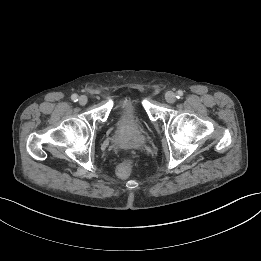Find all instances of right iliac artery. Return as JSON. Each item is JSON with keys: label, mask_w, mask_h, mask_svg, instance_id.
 <instances>
[{"label": "right iliac artery", "mask_w": 261, "mask_h": 261, "mask_svg": "<svg viewBox=\"0 0 261 261\" xmlns=\"http://www.w3.org/2000/svg\"><path fill=\"white\" fill-rule=\"evenodd\" d=\"M71 98H72V100H73L74 102H77V101H78V95H77V94H73V95L71 96Z\"/></svg>", "instance_id": "1"}]
</instances>
